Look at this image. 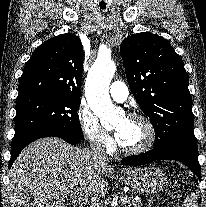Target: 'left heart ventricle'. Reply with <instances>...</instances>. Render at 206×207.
Masks as SVG:
<instances>
[{
	"label": "left heart ventricle",
	"instance_id": "b2bd125f",
	"mask_svg": "<svg viewBox=\"0 0 206 207\" xmlns=\"http://www.w3.org/2000/svg\"><path fill=\"white\" fill-rule=\"evenodd\" d=\"M115 130L122 134L120 144L125 148H137L143 145L147 139V128L140 121H130L121 118L115 125Z\"/></svg>",
	"mask_w": 206,
	"mask_h": 207
}]
</instances>
